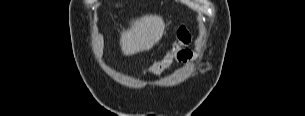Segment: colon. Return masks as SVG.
<instances>
[{
    "instance_id": "5ec220e1",
    "label": "colon",
    "mask_w": 305,
    "mask_h": 116,
    "mask_svg": "<svg viewBox=\"0 0 305 116\" xmlns=\"http://www.w3.org/2000/svg\"><path fill=\"white\" fill-rule=\"evenodd\" d=\"M191 42V33L185 25H181L177 28L175 34V40L169 49L165 57L154 63L150 69L149 73L152 76L160 75L173 61L174 59H179L185 54L184 47Z\"/></svg>"
}]
</instances>
